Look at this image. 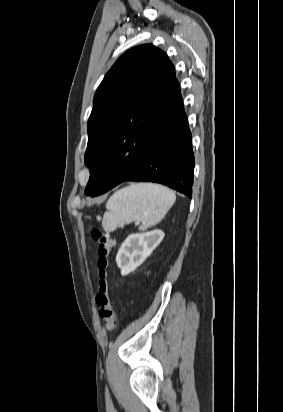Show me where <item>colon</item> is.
<instances>
[{"label": "colon", "mask_w": 283, "mask_h": 412, "mask_svg": "<svg viewBox=\"0 0 283 412\" xmlns=\"http://www.w3.org/2000/svg\"><path fill=\"white\" fill-rule=\"evenodd\" d=\"M90 234L97 246V267L99 272L98 291L95 297L100 307V316L106 328L112 331L117 326L116 313L110 294V253L115 244L111 235L101 229L91 228Z\"/></svg>", "instance_id": "obj_1"}]
</instances>
